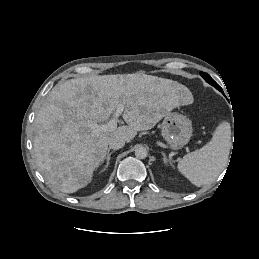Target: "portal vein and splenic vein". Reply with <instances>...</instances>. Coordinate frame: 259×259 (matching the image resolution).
I'll use <instances>...</instances> for the list:
<instances>
[{
	"mask_svg": "<svg viewBox=\"0 0 259 259\" xmlns=\"http://www.w3.org/2000/svg\"><path fill=\"white\" fill-rule=\"evenodd\" d=\"M124 106L122 104L117 106V109L113 115V117L106 124H95L92 126L94 133L101 132H112L117 129V123L119 121V116L123 113Z\"/></svg>",
	"mask_w": 259,
	"mask_h": 259,
	"instance_id": "18ae733b",
	"label": "portal vein and splenic vein"
}]
</instances>
